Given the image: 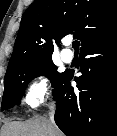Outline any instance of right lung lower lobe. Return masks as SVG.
Instances as JSON below:
<instances>
[{
	"instance_id": "obj_1",
	"label": "right lung lower lobe",
	"mask_w": 117,
	"mask_h": 136,
	"mask_svg": "<svg viewBox=\"0 0 117 136\" xmlns=\"http://www.w3.org/2000/svg\"><path fill=\"white\" fill-rule=\"evenodd\" d=\"M81 76L66 71L53 90L55 122L66 136H116L117 27L81 47Z\"/></svg>"
}]
</instances>
